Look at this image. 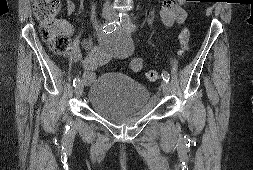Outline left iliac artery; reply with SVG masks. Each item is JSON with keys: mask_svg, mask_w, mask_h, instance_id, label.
<instances>
[{"mask_svg": "<svg viewBox=\"0 0 253 170\" xmlns=\"http://www.w3.org/2000/svg\"><path fill=\"white\" fill-rule=\"evenodd\" d=\"M120 22H121V25L124 28H127V27H132V29L135 28V25H133V23L131 22V19L128 15L123 16V17L121 16L120 17ZM162 77H163L164 81L169 82L170 76H169L168 72L163 71Z\"/></svg>", "mask_w": 253, "mask_h": 170, "instance_id": "left-iliac-artery-1", "label": "left iliac artery"}]
</instances>
